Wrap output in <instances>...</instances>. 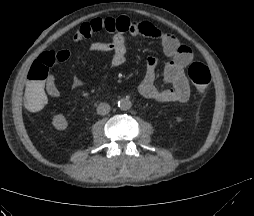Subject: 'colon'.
<instances>
[{"mask_svg":"<svg viewBox=\"0 0 254 216\" xmlns=\"http://www.w3.org/2000/svg\"><path fill=\"white\" fill-rule=\"evenodd\" d=\"M58 52L43 53L30 67L28 81L20 92L24 107L30 112H41L48 105V94L43 89L45 80L52 67L58 63ZM188 76L195 89L204 93L211 82V72L205 64L194 61L188 67Z\"/></svg>","mask_w":254,"mask_h":216,"instance_id":"obj_1","label":"colon"}]
</instances>
